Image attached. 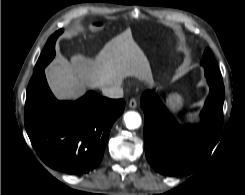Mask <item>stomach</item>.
Listing matches in <instances>:
<instances>
[{
	"mask_svg": "<svg viewBox=\"0 0 245 195\" xmlns=\"http://www.w3.org/2000/svg\"><path fill=\"white\" fill-rule=\"evenodd\" d=\"M167 103L168 106L174 111L180 110L183 105L181 96L176 93L170 94L167 97Z\"/></svg>",
	"mask_w": 245,
	"mask_h": 195,
	"instance_id": "1",
	"label": "stomach"
}]
</instances>
